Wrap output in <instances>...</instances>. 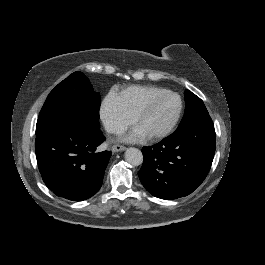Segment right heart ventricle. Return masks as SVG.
<instances>
[{"label":"right heart ventricle","instance_id":"1","mask_svg":"<svg viewBox=\"0 0 265 265\" xmlns=\"http://www.w3.org/2000/svg\"><path fill=\"white\" fill-rule=\"evenodd\" d=\"M158 89L154 86H129L116 93L114 98L127 114L134 117L145 100Z\"/></svg>","mask_w":265,"mask_h":265}]
</instances>
